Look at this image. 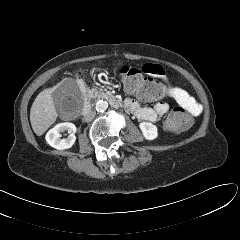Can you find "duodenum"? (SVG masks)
Here are the masks:
<instances>
[{"label":"duodenum","instance_id":"duodenum-1","mask_svg":"<svg viewBox=\"0 0 240 240\" xmlns=\"http://www.w3.org/2000/svg\"><path fill=\"white\" fill-rule=\"evenodd\" d=\"M80 87L85 92V99H84V105H83L82 113L87 114L90 110L92 96H91L90 93H88L86 91V86L82 81L80 82ZM102 97L104 99H106L113 107L117 108L121 105L120 100L112 94H106L105 93V94H102Z\"/></svg>","mask_w":240,"mask_h":240}]
</instances>
